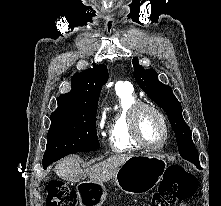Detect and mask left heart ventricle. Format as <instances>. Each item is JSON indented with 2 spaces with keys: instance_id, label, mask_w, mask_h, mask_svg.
<instances>
[{
  "instance_id": "1",
  "label": "left heart ventricle",
  "mask_w": 221,
  "mask_h": 206,
  "mask_svg": "<svg viewBox=\"0 0 221 206\" xmlns=\"http://www.w3.org/2000/svg\"><path fill=\"white\" fill-rule=\"evenodd\" d=\"M139 128L144 141L150 145L159 144L164 135L163 126L153 112L143 110L139 117Z\"/></svg>"
}]
</instances>
